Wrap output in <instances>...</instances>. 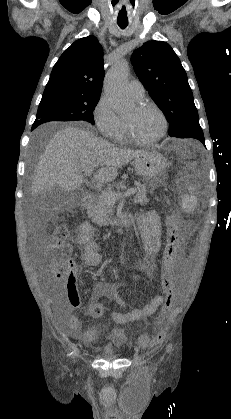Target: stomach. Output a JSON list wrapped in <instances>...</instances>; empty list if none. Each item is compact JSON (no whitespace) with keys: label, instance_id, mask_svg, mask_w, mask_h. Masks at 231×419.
Listing matches in <instances>:
<instances>
[{"label":"stomach","instance_id":"stomach-1","mask_svg":"<svg viewBox=\"0 0 231 419\" xmlns=\"http://www.w3.org/2000/svg\"><path fill=\"white\" fill-rule=\"evenodd\" d=\"M134 168L149 188L154 189L164 183L168 163L166 158L155 150H149L134 159Z\"/></svg>","mask_w":231,"mask_h":419}]
</instances>
